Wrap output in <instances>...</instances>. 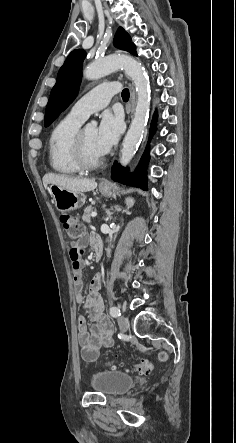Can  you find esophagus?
<instances>
[{"mask_svg":"<svg viewBox=\"0 0 236 443\" xmlns=\"http://www.w3.org/2000/svg\"><path fill=\"white\" fill-rule=\"evenodd\" d=\"M130 100H131V115L134 112L135 109V104H136V93H135V89L134 86L130 83ZM102 185H107L109 183V181L107 179H102L100 182Z\"/></svg>","mask_w":236,"mask_h":443,"instance_id":"34e87169","label":"esophagus"}]
</instances>
